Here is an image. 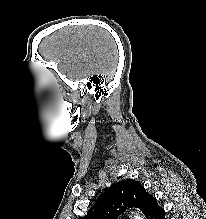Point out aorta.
<instances>
[{
	"label": "aorta",
	"mask_w": 206,
	"mask_h": 219,
	"mask_svg": "<svg viewBox=\"0 0 206 219\" xmlns=\"http://www.w3.org/2000/svg\"><path fill=\"white\" fill-rule=\"evenodd\" d=\"M133 219H144V218H142L141 216H139V215L137 214V215H134Z\"/></svg>",
	"instance_id": "1"
}]
</instances>
